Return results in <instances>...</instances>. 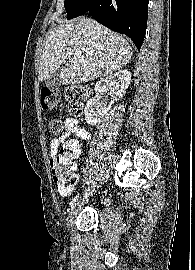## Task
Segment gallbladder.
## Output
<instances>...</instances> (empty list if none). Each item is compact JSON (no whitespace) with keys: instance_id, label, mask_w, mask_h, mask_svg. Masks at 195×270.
<instances>
[{"instance_id":"gallbladder-1","label":"gallbladder","mask_w":195,"mask_h":270,"mask_svg":"<svg viewBox=\"0 0 195 270\" xmlns=\"http://www.w3.org/2000/svg\"><path fill=\"white\" fill-rule=\"evenodd\" d=\"M61 67L44 81L45 86L50 90H57L61 86V82L59 80Z\"/></svg>"}]
</instances>
